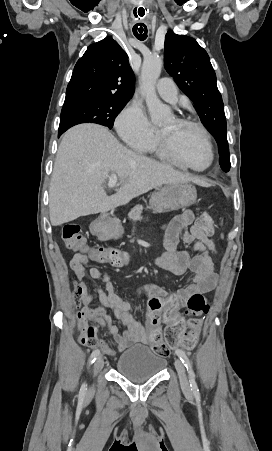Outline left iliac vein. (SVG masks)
Here are the masks:
<instances>
[{
    "label": "left iliac vein",
    "instance_id": "left-iliac-vein-1",
    "mask_svg": "<svg viewBox=\"0 0 272 451\" xmlns=\"http://www.w3.org/2000/svg\"><path fill=\"white\" fill-rule=\"evenodd\" d=\"M175 368L178 372V376L181 382L182 387L185 390H189L190 385L186 376L185 367L180 359L175 360Z\"/></svg>",
    "mask_w": 272,
    "mask_h": 451
}]
</instances>
